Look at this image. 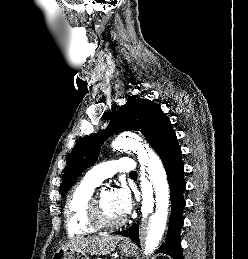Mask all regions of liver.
I'll list each match as a JSON object with an SVG mask.
<instances>
[{
  "instance_id": "obj_1",
  "label": "liver",
  "mask_w": 248,
  "mask_h": 259,
  "mask_svg": "<svg viewBox=\"0 0 248 259\" xmlns=\"http://www.w3.org/2000/svg\"><path fill=\"white\" fill-rule=\"evenodd\" d=\"M120 236L103 235L87 238H76L61 247L62 250L73 249L91 255L110 254L118 244Z\"/></svg>"
}]
</instances>
